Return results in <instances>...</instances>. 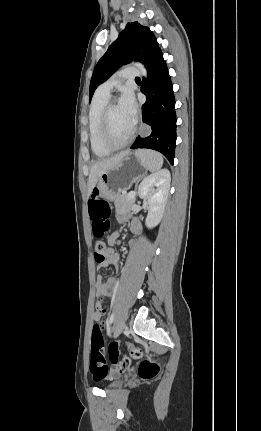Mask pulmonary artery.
Instances as JSON below:
<instances>
[{"label": "pulmonary artery", "instance_id": "e3ab8cb5", "mask_svg": "<svg viewBox=\"0 0 261 431\" xmlns=\"http://www.w3.org/2000/svg\"><path fill=\"white\" fill-rule=\"evenodd\" d=\"M140 75V71L134 67H127L114 74L107 81L103 82L97 89V92L103 95H110L114 86L126 79H134Z\"/></svg>", "mask_w": 261, "mask_h": 431}]
</instances>
